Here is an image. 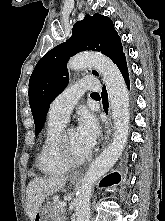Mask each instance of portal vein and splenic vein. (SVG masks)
Instances as JSON below:
<instances>
[{
	"label": "portal vein and splenic vein",
	"instance_id": "obj_1",
	"mask_svg": "<svg viewBox=\"0 0 165 221\" xmlns=\"http://www.w3.org/2000/svg\"><path fill=\"white\" fill-rule=\"evenodd\" d=\"M62 206L63 207L67 206L66 202H62Z\"/></svg>",
	"mask_w": 165,
	"mask_h": 221
}]
</instances>
